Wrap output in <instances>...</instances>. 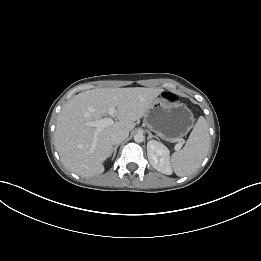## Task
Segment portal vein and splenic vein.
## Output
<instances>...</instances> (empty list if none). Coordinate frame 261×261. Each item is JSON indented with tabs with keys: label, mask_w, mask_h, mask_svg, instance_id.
<instances>
[{
	"label": "portal vein and splenic vein",
	"mask_w": 261,
	"mask_h": 261,
	"mask_svg": "<svg viewBox=\"0 0 261 261\" xmlns=\"http://www.w3.org/2000/svg\"><path fill=\"white\" fill-rule=\"evenodd\" d=\"M115 113H116L115 108L114 107H110L108 109L109 117L86 123L87 126L95 127V129H96V131H95V138H96V134L97 133L102 131L105 127L110 126V125H112L114 123L112 117L115 115ZM181 147H182V144L178 143L175 146V150H179Z\"/></svg>",
	"instance_id": "18ae733b"
}]
</instances>
